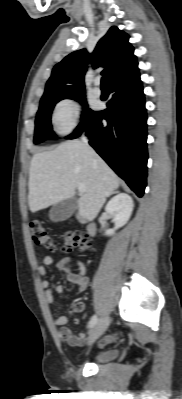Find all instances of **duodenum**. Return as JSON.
Masks as SVG:
<instances>
[{
  "label": "duodenum",
  "mask_w": 182,
  "mask_h": 399,
  "mask_svg": "<svg viewBox=\"0 0 182 399\" xmlns=\"http://www.w3.org/2000/svg\"><path fill=\"white\" fill-rule=\"evenodd\" d=\"M87 232L89 233V235L94 236L96 233V226L93 223H89L87 225Z\"/></svg>",
  "instance_id": "duodenum-1"
}]
</instances>
